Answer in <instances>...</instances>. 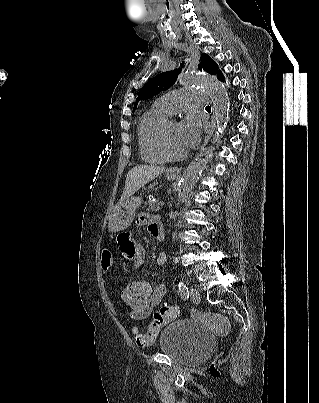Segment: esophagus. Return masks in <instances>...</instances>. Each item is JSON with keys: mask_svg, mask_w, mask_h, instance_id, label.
Returning <instances> with one entry per match:
<instances>
[{"mask_svg": "<svg viewBox=\"0 0 319 403\" xmlns=\"http://www.w3.org/2000/svg\"><path fill=\"white\" fill-rule=\"evenodd\" d=\"M211 124H212V125H211V128H210L208 134L205 136V139H204V141H203V144H202V146H201V149H203V148L206 146V144H207L208 141L210 140V138H211V136H212V134H213V132H214V130H215V127H216V118H215V114H213V116H212ZM170 171L173 172V173H175V174H181L182 168L173 167V168H170Z\"/></svg>", "mask_w": 319, "mask_h": 403, "instance_id": "esophagus-1", "label": "esophagus"}]
</instances>
